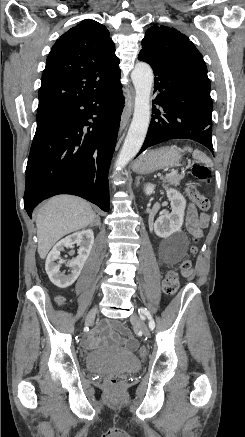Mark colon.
I'll return each instance as SVG.
<instances>
[{"instance_id": "colon-1", "label": "colon", "mask_w": 245, "mask_h": 437, "mask_svg": "<svg viewBox=\"0 0 245 437\" xmlns=\"http://www.w3.org/2000/svg\"><path fill=\"white\" fill-rule=\"evenodd\" d=\"M191 172L192 175L201 182H208L210 178V169L203 163L194 161L191 164ZM187 195L189 198L197 205V207L201 210H207L209 208L208 199L201 195L197 188L194 185H190L187 188ZM191 268L190 260H185L180 265L179 270L173 269L169 270L165 273L163 281H162V289L166 295L172 296L174 295L179 288V271L187 272ZM58 304L64 303V298L59 296L56 298ZM137 353L140 356H144L146 354V348L141 346L137 348ZM123 382V377L120 375H112L108 377V383L116 386Z\"/></svg>"}]
</instances>
